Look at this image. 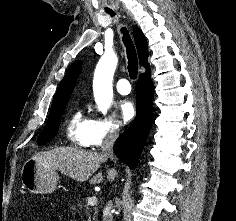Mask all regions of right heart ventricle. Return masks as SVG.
I'll list each match as a JSON object with an SVG mask.
<instances>
[{
	"label": "right heart ventricle",
	"mask_w": 236,
	"mask_h": 221,
	"mask_svg": "<svg viewBox=\"0 0 236 221\" xmlns=\"http://www.w3.org/2000/svg\"><path fill=\"white\" fill-rule=\"evenodd\" d=\"M91 124L82 109L76 110L67 125V136L71 142L80 147L88 146V132Z\"/></svg>",
	"instance_id": "e07e8e85"
}]
</instances>
